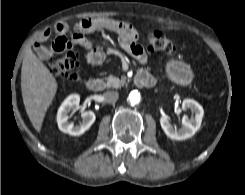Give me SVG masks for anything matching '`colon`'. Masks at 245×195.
Returning a JSON list of instances; mask_svg holds the SVG:
<instances>
[{
  "label": "colon",
  "mask_w": 245,
  "mask_h": 195,
  "mask_svg": "<svg viewBox=\"0 0 245 195\" xmlns=\"http://www.w3.org/2000/svg\"><path fill=\"white\" fill-rule=\"evenodd\" d=\"M146 47L151 51H160L168 55H175V44L162 32L154 31L145 40ZM80 58L74 52H68L60 57L51 58L48 62L50 72L59 78L75 80L78 77Z\"/></svg>",
  "instance_id": "1"
}]
</instances>
